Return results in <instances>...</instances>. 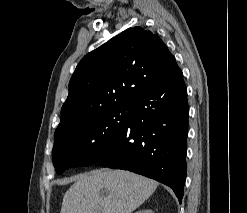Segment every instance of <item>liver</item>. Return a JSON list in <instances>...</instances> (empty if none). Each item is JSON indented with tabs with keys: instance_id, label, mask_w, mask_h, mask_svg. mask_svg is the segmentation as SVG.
Instances as JSON below:
<instances>
[{
	"instance_id": "obj_1",
	"label": "liver",
	"mask_w": 247,
	"mask_h": 213,
	"mask_svg": "<svg viewBox=\"0 0 247 213\" xmlns=\"http://www.w3.org/2000/svg\"><path fill=\"white\" fill-rule=\"evenodd\" d=\"M157 186L155 180L129 171L93 170L75 178L60 213H132Z\"/></svg>"
}]
</instances>
